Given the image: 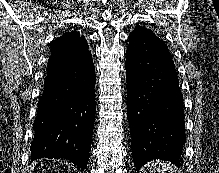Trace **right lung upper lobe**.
<instances>
[{
    "instance_id": "1",
    "label": "right lung upper lobe",
    "mask_w": 219,
    "mask_h": 173,
    "mask_svg": "<svg viewBox=\"0 0 219 173\" xmlns=\"http://www.w3.org/2000/svg\"><path fill=\"white\" fill-rule=\"evenodd\" d=\"M51 57L56 65L71 63L76 56L83 57L88 54V44L79 32H65L62 36L50 43Z\"/></svg>"
}]
</instances>
